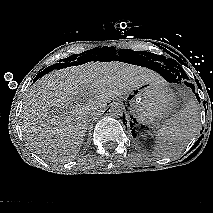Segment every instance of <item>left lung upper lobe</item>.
<instances>
[{
    "label": "left lung upper lobe",
    "mask_w": 213,
    "mask_h": 213,
    "mask_svg": "<svg viewBox=\"0 0 213 213\" xmlns=\"http://www.w3.org/2000/svg\"><path fill=\"white\" fill-rule=\"evenodd\" d=\"M165 64L170 69L172 74L179 80L188 79V76L184 72V70L180 67V65L173 59H166Z\"/></svg>",
    "instance_id": "obj_1"
}]
</instances>
